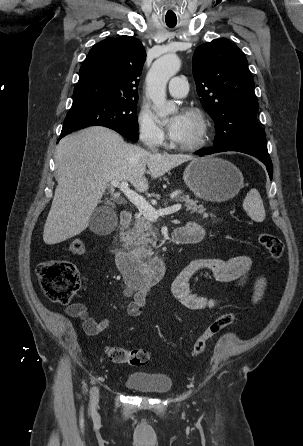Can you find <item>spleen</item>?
<instances>
[{
  "mask_svg": "<svg viewBox=\"0 0 303 446\" xmlns=\"http://www.w3.org/2000/svg\"><path fill=\"white\" fill-rule=\"evenodd\" d=\"M243 208L253 221H264L265 209L262 198L257 189L253 188L247 193L243 201Z\"/></svg>",
  "mask_w": 303,
  "mask_h": 446,
  "instance_id": "3e777b00",
  "label": "spleen"
}]
</instances>
